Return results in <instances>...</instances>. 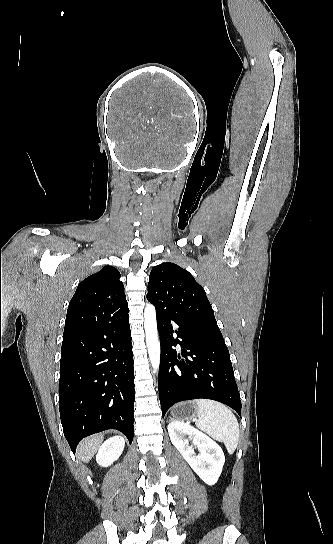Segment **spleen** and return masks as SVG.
<instances>
[{"instance_id": "obj_1", "label": "spleen", "mask_w": 333, "mask_h": 544, "mask_svg": "<svg viewBox=\"0 0 333 544\" xmlns=\"http://www.w3.org/2000/svg\"><path fill=\"white\" fill-rule=\"evenodd\" d=\"M197 411L193 417L196 426L214 439L221 441L233 454L239 441V423L232 411L224 404L208 399L192 402Z\"/></svg>"}]
</instances>
